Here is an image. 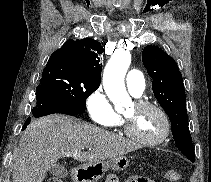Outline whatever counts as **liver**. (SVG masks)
Segmentation results:
<instances>
[{
    "mask_svg": "<svg viewBox=\"0 0 211 182\" xmlns=\"http://www.w3.org/2000/svg\"><path fill=\"white\" fill-rule=\"evenodd\" d=\"M91 148L90 151L82 150ZM138 146L75 117L52 114L30 123L15 152L13 182H43L59 158L100 162L134 151Z\"/></svg>",
    "mask_w": 211,
    "mask_h": 182,
    "instance_id": "6515ba94",
    "label": "liver"
}]
</instances>
